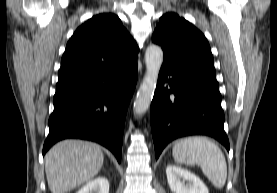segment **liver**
Wrapping results in <instances>:
<instances>
[{
    "mask_svg": "<svg viewBox=\"0 0 277 193\" xmlns=\"http://www.w3.org/2000/svg\"><path fill=\"white\" fill-rule=\"evenodd\" d=\"M104 155L98 144L64 140L45 156V172L52 193H67L93 179L102 168Z\"/></svg>",
    "mask_w": 277,
    "mask_h": 193,
    "instance_id": "6515ba94",
    "label": "liver"
}]
</instances>
